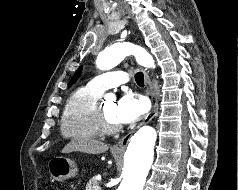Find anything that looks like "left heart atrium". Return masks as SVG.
Instances as JSON below:
<instances>
[{"instance_id": "39dd6f15", "label": "left heart atrium", "mask_w": 238, "mask_h": 190, "mask_svg": "<svg viewBox=\"0 0 238 190\" xmlns=\"http://www.w3.org/2000/svg\"><path fill=\"white\" fill-rule=\"evenodd\" d=\"M147 110L148 102L144 97L126 93L117 103L116 117L119 123L128 124L139 120Z\"/></svg>"}]
</instances>
